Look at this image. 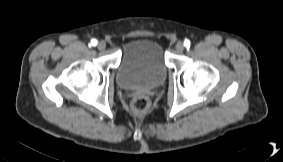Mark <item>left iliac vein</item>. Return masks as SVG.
Instances as JSON below:
<instances>
[{"label":"left iliac vein","mask_w":283,"mask_h":162,"mask_svg":"<svg viewBox=\"0 0 283 162\" xmlns=\"http://www.w3.org/2000/svg\"><path fill=\"white\" fill-rule=\"evenodd\" d=\"M175 49L178 53H181L184 50V44L181 41H178L175 45Z\"/></svg>","instance_id":"4c4485c4"}]
</instances>
